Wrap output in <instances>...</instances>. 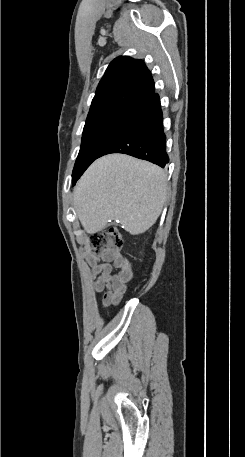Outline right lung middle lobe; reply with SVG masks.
I'll use <instances>...</instances> for the list:
<instances>
[{
	"mask_svg": "<svg viewBox=\"0 0 245 457\" xmlns=\"http://www.w3.org/2000/svg\"><path fill=\"white\" fill-rule=\"evenodd\" d=\"M128 112L127 110H109L88 114L83 129L80 152L72 173L73 185L88 166L98 158L99 153L120 127Z\"/></svg>",
	"mask_w": 245,
	"mask_h": 457,
	"instance_id": "1",
	"label": "right lung middle lobe"
}]
</instances>
